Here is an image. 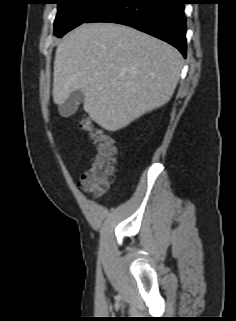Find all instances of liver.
<instances>
[{
	"mask_svg": "<svg viewBox=\"0 0 236 321\" xmlns=\"http://www.w3.org/2000/svg\"><path fill=\"white\" fill-rule=\"evenodd\" d=\"M183 65L170 44L115 23L82 24L58 45L53 100L76 90L84 111L108 131L126 127L172 97Z\"/></svg>",
	"mask_w": 236,
	"mask_h": 321,
	"instance_id": "liver-1",
	"label": "liver"
}]
</instances>
